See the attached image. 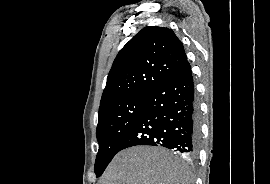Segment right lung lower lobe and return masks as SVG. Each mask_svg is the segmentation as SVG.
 Returning <instances> with one entry per match:
<instances>
[{
	"instance_id": "obj_1",
	"label": "right lung lower lobe",
	"mask_w": 270,
	"mask_h": 184,
	"mask_svg": "<svg viewBox=\"0 0 270 184\" xmlns=\"http://www.w3.org/2000/svg\"><path fill=\"white\" fill-rule=\"evenodd\" d=\"M199 134V110L187 61L147 96L142 113L118 151L136 145H152L194 156Z\"/></svg>"
}]
</instances>
